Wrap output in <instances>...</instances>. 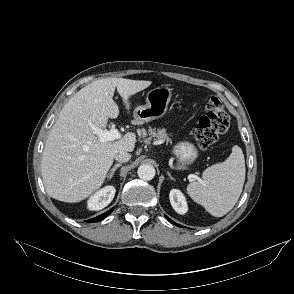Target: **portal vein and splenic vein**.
Instances as JSON below:
<instances>
[{"instance_id":"18ae733b","label":"portal vein and splenic vein","mask_w":294,"mask_h":294,"mask_svg":"<svg viewBox=\"0 0 294 294\" xmlns=\"http://www.w3.org/2000/svg\"><path fill=\"white\" fill-rule=\"evenodd\" d=\"M91 128L94 131V133L99 137V140L101 142L114 141L116 139L121 138L120 132L115 127L111 128L109 131L103 130L94 125H91Z\"/></svg>"}]
</instances>
